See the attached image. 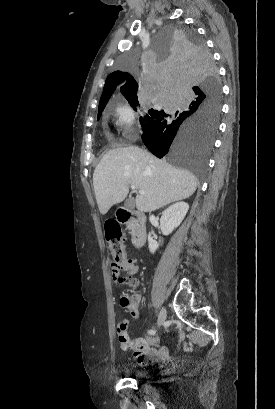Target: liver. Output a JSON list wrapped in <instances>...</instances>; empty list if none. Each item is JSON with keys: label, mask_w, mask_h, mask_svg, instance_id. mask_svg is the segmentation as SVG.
Segmentation results:
<instances>
[{"label": "liver", "mask_w": 275, "mask_h": 409, "mask_svg": "<svg viewBox=\"0 0 275 409\" xmlns=\"http://www.w3.org/2000/svg\"><path fill=\"white\" fill-rule=\"evenodd\" d=\"M135 184L145 194H137L140 213L161 209L169 202L188 198L196 190L197 178L190 170L176 168L139 146L112 148L102 156L93 172V186L101 215L122 202Z\"/></svg>", "instance_id": "liver-1"}]
</instances>
